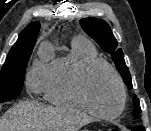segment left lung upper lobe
<instances>
[{
  "instance_id": "left-lung-upper-lobe-1",
  "label": "left lung upper lobe",
  "mask_w": 151,
  "mask_h": 131,
  "mask_svg": "<svg viewBox=\"0 0 151 131\" xmlns=\"http://www.w3.org/2000/svg\"><path fill=\"white\" fill-rule=\"evenodd\" d=\"M80 25L83 30L90 37H92L105 52L111 54V58L122 75L125 84L131 89L133 86L129 69L124 60V54L122 49L117 48L118 42L112 34L109 25L104 20L96 18L81 19ZM133 104L137 108L133 112V115L137 116L141 110L139 99L135 94L133 95Z\"/></svg>"
}]
</instances>
